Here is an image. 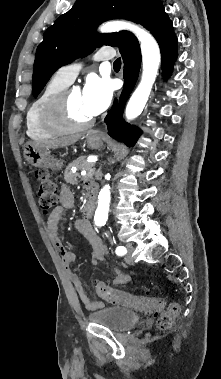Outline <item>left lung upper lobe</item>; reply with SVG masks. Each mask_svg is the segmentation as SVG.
I'll list each match as a JSON object with an SVG mask.
<instances>
[{
    "mask_svg": "<svg viewBox=\"0 0 221 379\" xmlns=\"http://www.w3.org/2000/svg\"><path fill=\"white\" fill-rule=\"evenodd\" d=\"M160 0H77L44 33L36 51L32 80L37 97L52 74L61 66L84 57L103 44L118 47L132 33L97 34L103 21L127 19L142 24Z\"/></svg>",
    "mask_w": 221,
    "mask_h": 379,
    "instance_id": "obj_1",
    "label": "left lung upper lobe"
}]
</instances>
